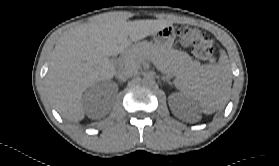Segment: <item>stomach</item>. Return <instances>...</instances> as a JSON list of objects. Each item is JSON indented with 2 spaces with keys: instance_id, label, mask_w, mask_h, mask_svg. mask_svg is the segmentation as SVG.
Wrapping results in <instances>:
<instances>
[{
  "instance_id": "1",
  "label": "stomach",
  "mask_w": 279,
  "mask_h": 166,
  "mask_svg": "<svg viewBox=\"0 0 279 166\" xmlns=\"http://www.w3.org/2000/svg\"><path fill=\"white\" fill-rule=\"evenodd\" d=\"M175 38L176 34L172 25L164 27L153 34L155 44L161 48L171 47Z\"/></svg>"
}]
</instances>
